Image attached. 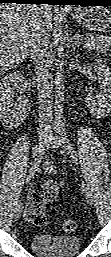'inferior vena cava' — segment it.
Returning <instances> with one entry per match:
<instances>
[{
    "label": "inferior vena cava",
    "mask_w": 111,
    "mask_h": 257,
    "mask_svg": "<svg viewBox=\"0 0 111 257\" xmlns=\"http://www.w3.org/2000/svg\"><path fill=\"white\" fill-rule=\"evenodd\" d=\"M31 61L35 65L37 76V89L39 98V127L41 130H49L52 123L51 90L49 83V71L47 57L48 32L38 26L30 44Z\"/></svg>",
    "instance_id": "inferior-vena-cava-1"
}]
</instances>
